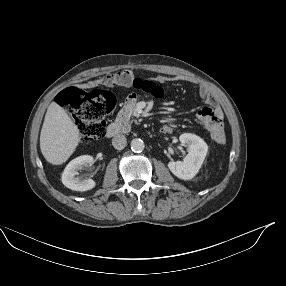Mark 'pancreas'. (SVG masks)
<instances>
[{
    "mask_svg": "<svg viewBox=\"0 0 286 286\" xmlns=\"http://www.w3.org/2000/svg\"><path fill=\"white\" fill-rule=\"evenodd\" d=\"M134 113V105H125L117 115V123H123L128 121Z\"/></svg>",
    "mask_w": 286,
    "mask_h": 286,
    "instance_id": "obj_1",
    "label": "pancreas"
}]
</instances>
